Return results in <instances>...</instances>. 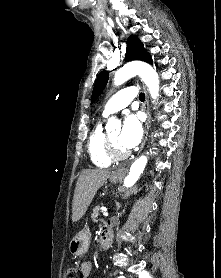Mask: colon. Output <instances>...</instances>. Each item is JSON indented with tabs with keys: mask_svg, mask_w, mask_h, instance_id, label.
Returning a JSON list of instances; mask_svg holds the SVG:
<instances>
[{
	"mask_svg": "<svg viewBox=\"0 0 221 278\" xmlns=\"http://www.w3.org/2000/svg\"><path fill=\"white\" fill-rule=\"evenodd\" d=\"M65 278H83V274L80 268L70 267L66 270Z\"/></svg>",
	"mask_w": 221,
	"mask_h": 278,
	"instance_id": "colon-1",
	"label": "colon"
}]
</instances>
